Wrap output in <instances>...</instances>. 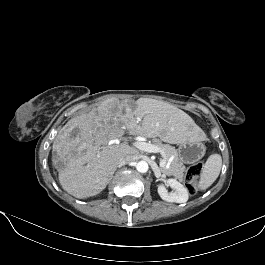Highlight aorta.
<instances>
[{
  "mask_svg": "<svg viewBox=\"0 0 265 265\" xmlns=\"http://www.w3.org/2000/svg\"><path fill=\"white\" fill-rule=\"evenodd\" d=\"M148 168H149L148 163L144 160H141L136 164V169L140 173H146L148 171Z\"/></svg>",
  "mask_w": 265,
  "mask_h": 265,
  "instance_id": "1",
  "label": "aorta"
}]
</instances>
